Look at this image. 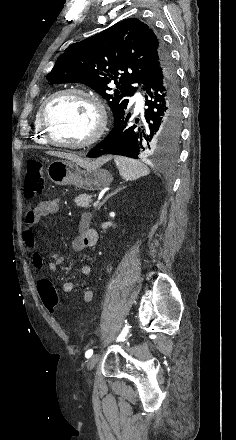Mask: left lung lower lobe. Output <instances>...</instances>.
I'll return each instance as SVG.
<instances>
[{
  "instance_id": "obj_1",
  "label": "left lung lower lobe",
  "mask_w": 236,
  "mask_h": 440,
  "mask_svg": "<svg viewBox=\"0 0 236 440\" xmlns=\"http://www.w3.org/2000/svg\"><path fill=\"white\" fill-rule=\"evenodd\" d=\"M145 105L142 120L128 124L130 113L122 112L114 119V127L87 157L103 154L138 159L149 150L172 146L178 139L181 122L180 91L176 71L168 52L152 59L141 81Z\"/></svg>"
}]
</instances>
